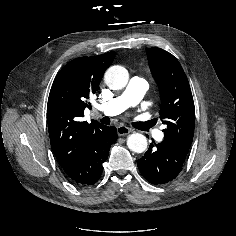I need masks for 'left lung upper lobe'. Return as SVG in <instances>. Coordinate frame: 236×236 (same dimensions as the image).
Wrapping results in <instances>:
<instances>
[{"mask_svg":"<svg viewBox=\"0 0 236 236\" xmlns=\"http://www.w3.org/2000/svg\"><path fill=\"white\" fill-rule=\"evenodd\" d=\"M149 66L161 94L160 119L164 140L187 156L195 127V107L187 76L178 60L161 48L147 49Z\"/></svg>","mask_w":236,"mask_h":236,"instance_id":"1","label":"left lung upper lobe"}]
</instances>
